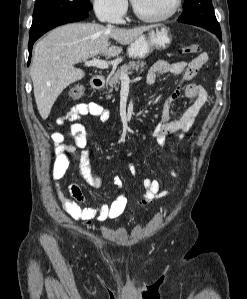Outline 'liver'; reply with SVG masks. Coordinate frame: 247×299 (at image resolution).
Returning <instances> with one entry per match:
<instances>
[{
    "mask_svg": "<svg viewBox=\"0 0 247 299\" xmlns=\"http://www.w3.org/2000/svg\"><path fill=\"white\" fill-rule=\"evenodd\" d=\"M154 25L132 29L97 23H69L51 30L34 48L30 74L34 97L42 119L46 120L58 96L70 84L81 80L85 72L74 65L96 55L116 57L121 46L129 45Z\"/></svg>",
    "mask_w": 247,
    "mask_h": 299,
    "instance_id": "obj_1",
    "label": "liver"
}]
</instances>
